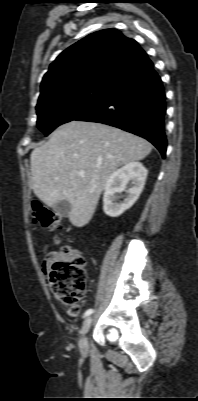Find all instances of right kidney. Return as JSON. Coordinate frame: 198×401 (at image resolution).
I'll list each match as a JSON object with an SVG mask.
<instances>
[{
    "label": "right kidney",
    "instance_id": "1",
    "mask_svg": "<svg viewBox=\"0 0 198 401\" xmlns=\"http://www.w3.org/2000/svg\"><path fill=\"white\" fill-rule=\"evenodd\" d=\"M148 170L140 162H130L116 170L104 187L103 210L110 217H118L131 208L139 198L147 178ZM131 181L132 186L126 190ZM127 192L123 202L116 203V193Z\"/></svg>",
    "mask_w": 198,
    "mask_h": 401
}]
</instances>
